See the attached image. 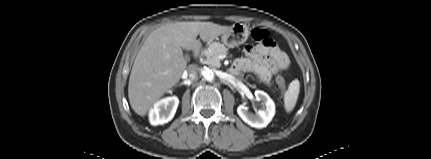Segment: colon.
<instances>
[{
  "instance_id": "5ec220e1",
  "label": "colon",
  "mask_w": 431,
  "mask_h": 159,
  "mask_svg": "<svg viewBox=\"0 0 431 159\" xmlns=\"http://www.w3.org/2000/svg\"><path fill=\"white\" fill-rule=\"evenodd\" d=\"M251 36L253 38V40H255L258 43H262V44H269L271 38H270V34L267 30L262 29V28H255L252 30L251 32ZM276 85H277V89L280 93V102L282 103L284 101V93L286 91V82L284 80L283 77L279 76L276 78Z\"/></svg>"
}]
</instances>
